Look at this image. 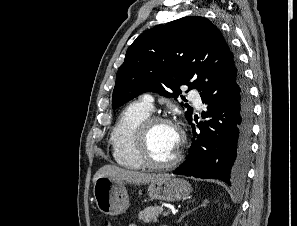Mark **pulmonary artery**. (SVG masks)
<instances>
[{"label": "pulmonary artery", "instance_id": "e3ab8cb5", "mask_svg": "<svg viewBox=\"0 0 297 226\" xmlns=\"http://www.w3.org/2000/svg\"><path fill=\"white\" fill-rule=\"evenodd\" d=\"M188 97L190 100H192L198 107L201 106V99L199 96V93L197 90L192 89L190 90ZM141 102L147 106L149 109L153 111L154 105H153V97L151 94L145 93L141 96Z\"/></svg>", "mask_w": 297, "mask_h": 226}]
</instances>
